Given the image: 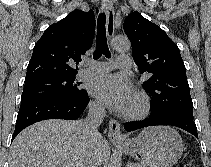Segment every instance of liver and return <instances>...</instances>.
<instances>
[{
  "instance_id": "obj_1",
  "label": "liver",
  "mask_w": 211,
  "mask_h": 167,
  "mask_svg": "<svg viewBox=\"0 0 211 167\" xmlns=\"http://www.w3.org/2000/svg\"><path fill=\"white\" fill-rule=\"evenodd\" d=\"M89 153L101 164L108 158L109 146L102 137L92 143L82 121L44 120L15 138L9 167H82Z\"/></svg>"
}]
</instances>
